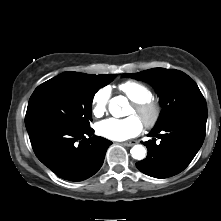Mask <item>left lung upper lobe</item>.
I'll return each mask as SVG.
<instances>
[{"label": "left lung upper lobe", "mask_w": 221, "mask_h": 221, "mask_svg": "<svg viewBox=\"0 0 221 221\" xmlns=\"http://www.w3.org/2000/svg\"><path fill=\"white\" fill-rule=\"evenodd\" d=\"M123 76L143 80L156 89L162 111L154 129L184 114L207 112L206 101L197 84L181 71L153 68L134 74L127 73Z\"/></svg>", "instance_id": "5c2ea615"}]
</instances>
